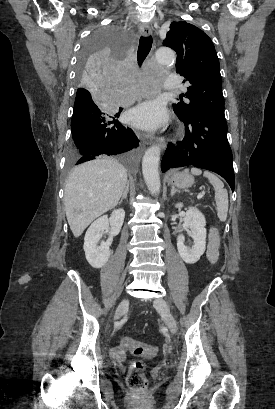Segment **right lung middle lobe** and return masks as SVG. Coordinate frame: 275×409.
Masks as SVG:
<instances>
[{
    "label": "right lung middle lobe",
    "instance_id": "obj_1",
    "mask_svg": "<svg viewBox=\"0 0 275 409\" xmlns=\"http://www.w3.org/2000/svg\"><path fill=\"white\" fill-rule=\"evenodd\" d=\"M127 30H116L114 24H103L101 30L84 43L75 78L76 93L71 120L72 140L62 177L68 178L73 167L95 159H112L137 173L139 140L125 122L124 105L128 96H111L110 91H128L129 83L122 82L121 57L116 51H131Z\"/></svg>",
    "mask_w": 275,
    "mask_h": 409
}]
</instances>
